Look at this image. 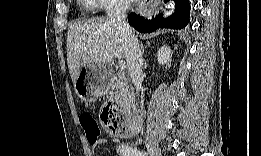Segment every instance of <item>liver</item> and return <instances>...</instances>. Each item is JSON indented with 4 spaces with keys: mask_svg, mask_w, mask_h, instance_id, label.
I'll use <instances>...</instances> for the list:
<instances>
[{
    "mask_svg": "<svg viewBox=\"0 0 261 156\" xmlns=\"http://www.w3.org/2000/svg\"><path fill=\"white\" fill-rule=\"evenodd\" d=\"M125 58V39L108 18H91L70 25L67 33V63L72 82L82 67L108 64Z\"/></svg>",
    "mask_w": 261,
    "mask_h": 156,
    "instance_id": "liver-1",
    "label": "liver"
}]
</instances>
